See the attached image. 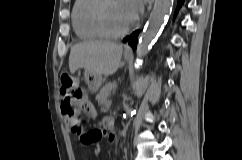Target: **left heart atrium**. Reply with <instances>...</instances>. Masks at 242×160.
Returning a JSON list of instances; mask_svg holds the SVG:
<instances>
[{
	"instance_id": "obj_1",
	"label": "left heart atrium",
	"mask_w": 242,
	"mask_h": 160,
	"mask_svg": "<svg viewBox=\"0 0 242 160\" xmlns=\"http://www.w3.org/2000/svg\"><path fill=\"white\" fill-rule=\"evenodd\" d=\"M125 11L127 17L132 23L141 13L143 5L141 0H120Z\"/></svg>"
}]
</instances>
